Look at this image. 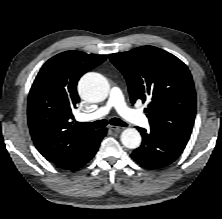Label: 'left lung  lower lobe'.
Wrapping results in <instances>:
<instances>
[{
    "label": "left lung lower lobe",
    "mask_w": 222,
    "mask_h": 219,
    "mask_svg": "<svg viewBox=\"0 0 222 219\" xmlns=\"http://www.w3.org/2000/svg\"><path fill=\"white\" fill-rule=\"evenodd\" d=\"M142 135V144L131 157L147 169H158L175 161L183 152L187 141L163 130L152 128L149 132L136 127Z\"/></svg>",
    "instance_id": "obj_1"
}]
</instances>
